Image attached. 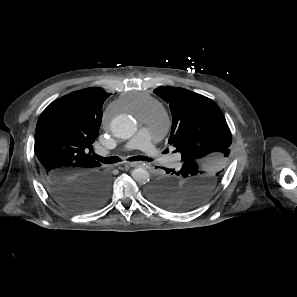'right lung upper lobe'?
Here are the masks:
<instances>
[{
	"mask_svg": "<svg viewBox=\"0 0 297 297\" xmlns=\"http://www.w3.org/2000/svg\"><path fill=\"white\" fill-rule=\"evenodd\" d=\"M110 95L101 88H87L53 101L42 112L34 147L41 174L62 172L73 177L99 169L90 153L99 133L102 105Z\"/></svg>",
	"mask_w": 297,
	"mask_h": 297,
	"instance_id": "right-lung-upper-lobe-1",
	"label": "right lung upper lobe"
}]
</instances>
